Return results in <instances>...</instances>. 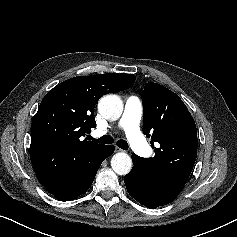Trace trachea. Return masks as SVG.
Returning a JSON list of instances; mask_svg holds the SVG:
<instances>
[{"mask_svg": "<svg viewBox=\"0 0 237 237\" xmlns=\"http://www.w3.org/2000/svg\"><path fill=\"white\" fill-rule=\"evenodd\" d=\"M98 143H102V144H112L114 142V139L110 136V135H105L100 137L99 139H93ZM117 146L123 150H127L128 149V143L127 141L120 139L116 142Z\"/></svg>", "mask_w": 237, "mask_h": 237, "instance_id": "trachea-1", "label": "trachea"}]
</instances>
